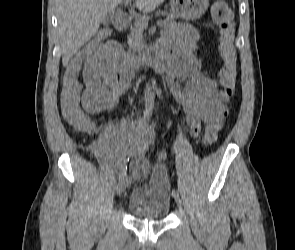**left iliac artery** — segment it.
Listing matches in <instances>:
<instances>
[{"mask_svg":"<svg viewBox=\"0 0 295 250\" xmlns=\"http://www.w3.org/2000/svg\"><path fill=\"white\" fill-rule=\"evenodd\" d=\"M173 196H179L178 190L177 189H173L172 191Z\"/></svg>","mask_w":295,"mask_h":250,"instance_id":"obj_1","label":"left iliac artery"}]
</instances>
